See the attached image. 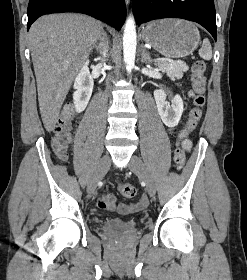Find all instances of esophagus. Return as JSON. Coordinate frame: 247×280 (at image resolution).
<instances>
[{"instance_id":"obj_1","label":"esophagus","mask_w":247,"mask_h":280,"mask_svg":"<svg viewBox=\"0 0 247 280\" xmlns=\"http://www.w3.org/2000/svg\"><path fill=\"white\" fill-rule=\"evenodd\" d=\"M126 4L128 5L130 3V0H125Z\"/></svg>"}]
</instances>
